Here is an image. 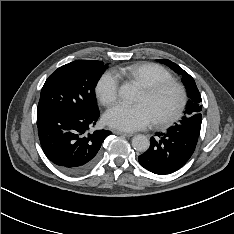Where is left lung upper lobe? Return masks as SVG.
Segmentation results:
<instances>
[{
	"mask_svg": "<svg viewBox=\"0 0 234 234\" xmlns=\"http://www.w3.org/2000/svg\"><path fill=\"white\" fill-rule=\"evenodd\" d=\"M158 61L168 65L176 73L182 75V82L186 87L187 95L189 97L184 116L178 123L175 124V126H180L188 131L193 132L196 135H200L202 122V99L194 79L172 61L167 59H159Z\"/></svg>",
	"mask_w": 234,
	"mask_h": 234,
	"instance_id": "left-lung-upper-lobe-1",
	"label": "left lung upper lobe"
}]
</instances>
